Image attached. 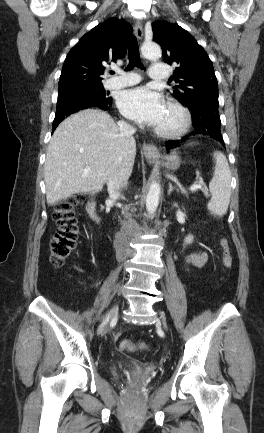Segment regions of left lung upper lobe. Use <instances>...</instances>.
Wrapping results in <instances>:
<instances>
[{
  "instance_id": "5c2ea615",
  "label": "left lung upper lobe",
  "mask_w": 264,
  "mask_h": 433,
  "mask_svg": "<svg viewBox=\"0 0 264 433\" xmlns=\"http://www.w3.org/2000/svg\"><path fill=\"white\" fill-rule=\"evenodd\" d=\"M153 40L163 50V59L176 64L172 79L178 83L172 95L192 108L198 103L219 105L218 84L211 60L194 37L178 24L152 23Z\"/></svg>"
}]
</instances>
